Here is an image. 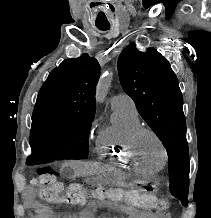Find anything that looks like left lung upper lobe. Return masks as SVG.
Returning <instances> with one entry per match:
<instances>
[{"label": "left lung upper lobe", "instance_id": "1", "mask_svg": "<svg viewBox=\"0 0 211 218\" xmlns=\"http://www.w3.org/2000/svg\"><path fill=\"white\" fill-rule=\"evenodd\" d=\"M149 53L128 45L118 58L124 91L133 99L142 118L166 147L170 191L186 202L189 190V153L179 81L169 62L156 49Z\"/></svg>", "mask_w": 211, "mask_h": 218}]
</instances>
